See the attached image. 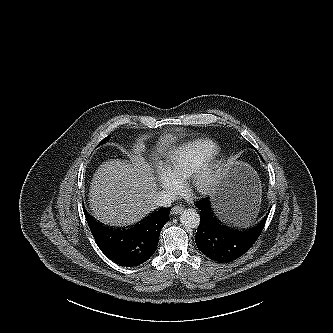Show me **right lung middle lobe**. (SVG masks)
Here are the masks:
<instances>
[{
    "label": "right lung middle lobe",
    "instance_id": "obj_1",
    "mask_svg": "<svg viewBox=\"0 0 333 333\" xmlns=\"http://www.w3.org/2000/svg\"><path fill=\"white\" fill-rule=\"evenodd\" d=\"M109 139V136L108 137H106L105 139H103L101 142H100V144H102V143H104L106 140H108ZM99 144V145H100Z\"/></svg>",
    "mask_w": 333,
    "mask_h": 333
}]
</instances>
